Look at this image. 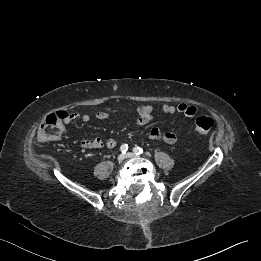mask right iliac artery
I'll use <instances>...</instances> for the list:
<instances>
[{"label": "right iliac artery", "mask_w": 261, "mask_h": 261, "mask_svg": "<svg viewBox=\"0 0 261 261\" xmlns=\"http://www.w3.org/2000/svg\"><path fill=\"white\" fill-rule=\"evenodd\" d=\"M120 150L123 154H125L128 150V145L127 144H122L120 147Z\"/></svg>", "instance_id": "1"}]
</instances>
